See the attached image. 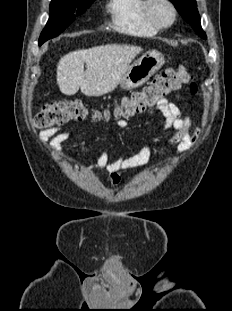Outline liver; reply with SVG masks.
Wrapping results in <instances>:
<instances>
[{"label": "liver", "mask_w": 232, "mask_h": 311, "mask_svg": "<svg viewBox=\"0 0 232 311\" xmlns=\"http://www.w3.org/2000/svg\"><path fill=\"white\" fill-rule=\"evenodd\" d=\"M141 51L137 46L111 44L70 52L61 57L57 65L59 89L68 96L79 89L89 97L109 93L117 87L131 61Z\"/></svg>", "instance_id": "liver-1"}]
</instances>
